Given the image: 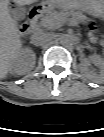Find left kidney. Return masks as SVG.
I'll return each mask as SVG.
<instances>
[{
  "mask_svg": "<svg viewBox=\"0 0 104 137\" xmlns=\"http://www.w3.org/2000/svg\"><path fill=\"white\" fill-rule=\"evenodd\" d=\"M90 61H91L93 64H95L96 66H99V67H103V65H104V60H103L100 56H98V55H93V56L90 57L89 60L84 61V62H82V63L80 64L81 69H82V70H85V68L89 65V62H90Z\"/></svg>",
  "mask_w": 104,
  "mask_h": 137,
  "instance_id": "left-kidney-1",
  "label": "left kidney"
}]
</instances>
